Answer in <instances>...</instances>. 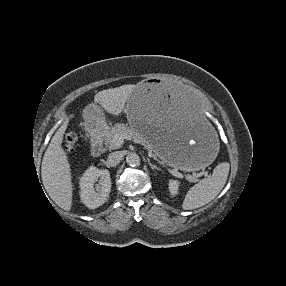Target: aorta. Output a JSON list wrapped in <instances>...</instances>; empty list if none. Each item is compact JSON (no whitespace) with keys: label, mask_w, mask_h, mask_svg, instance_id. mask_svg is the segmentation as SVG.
<instances>
[{"label":"aorta","mask_w":286,"mask_h":286,"mask_svg":"<svg viewBox=\"0 0 286 286\" xmlns=\"http://www.w3.org/2000/svg\"><path fill=\"white\" fill-rule=\"evenodd\" d=\"M126 162L130 166H139L140 165V157L136 153H130L126 156Z\"/></svg>","instance_id":"obj_1"}]
</instances>
